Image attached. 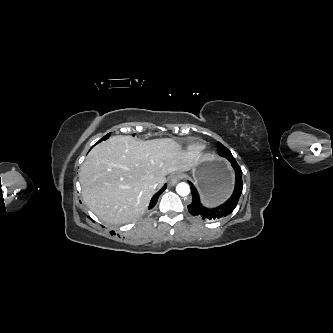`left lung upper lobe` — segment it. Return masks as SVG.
I'll use <instances>...</instances> for the list:
<instances>
[{
    "mask_svg": "<svg viewBox=\"0 0 333 333\" xmlns=\"http://www.w3.org/2000/svg\"><path fill=\"white\" fill-rule=\"evenodd\" d=\"M218 153L220 156L226 157L228 160H235L232 156L229 149H227L224 145L218 142L217 145Z\"/></svg>",
    "mask_w": 333,
    "mask_h": 333,
    "instance_id": "1",
    "label": "left lung upper lobe"
}]
</instances>
